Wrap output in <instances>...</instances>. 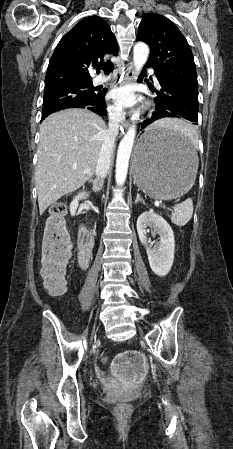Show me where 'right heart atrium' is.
Returning <instances> with one entry per match:
<instances>
[{"label":"right heart atrium","instance_id":"d8ad5b80","mask_svg":"<svg viewBox=\"0 0 233 449\" xmlns=\"http://www.w3.org/2000/svg\"><path fill=\"white\" fill-rule=\"evenodd\" d=\"M109 112L112 118H118L119 117V113L117 112V110L114 107H110L109 108Z\"/></svg>","mask_w":233,"mask_h":449}]
</instances>
